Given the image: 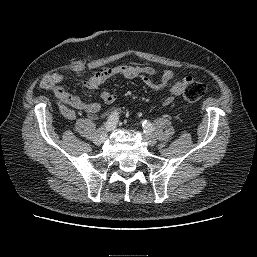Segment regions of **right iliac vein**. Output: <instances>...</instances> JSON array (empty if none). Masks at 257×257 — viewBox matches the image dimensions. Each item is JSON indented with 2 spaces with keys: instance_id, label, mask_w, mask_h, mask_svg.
<instances>
[{
  "instance_id": "63e3f726",
  "label": "right iliac vein",
  "mask_w": 257,
  "mask_h": 257,
  "mask_svg": "<svg viewBox=\"0 0 257 257\" xmlns=\"http://www.w3.org/2000/svg\"><path fill=\"white\" fill-rule=\"evenodd\" d=\"M106 137H107V133L103 128H100L97 130L93 141L96 145H100L105 141Z\"/></svg>"
}]
</instances>
